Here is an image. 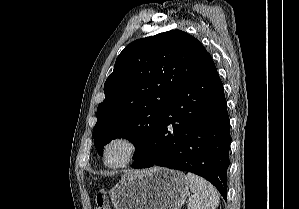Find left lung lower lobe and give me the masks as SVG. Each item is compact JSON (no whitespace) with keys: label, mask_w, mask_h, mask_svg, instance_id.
Wrapping results in <instances>:
<instances>
[{"label":"left lung lower lobe","mask_w":299,"mask_h":209,"mask_svg":"<svg viewBox=\"0 0 299 209\" xmlns=\"http://www.w3.org/2000/svg\"><path fill=\"white\" fill-rule=\"evenodd\" d=\"M230 142L223 84L211 60L169 100L131 167L158 165L195 173L226 200Z\"/></svg>","instance_id":"1"}]
</instances>
